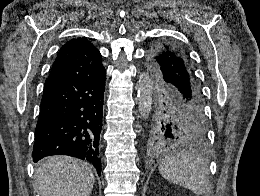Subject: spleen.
Wrapping results in <instances>:
<instances>
[{"label": "spleen", "mask_w": 260, "mask_h": 196, "mask_svg": "<svg viewBox=\"0 0 260 196\" xmlns=\"http://www.w3.org/2000/svg\"><path fill=\"white\" fill-rule=\"evenodd\" d=\"M159 172L164 180L188 188L197 196L206 194L210 184L206 162L191 152L166 156L159 164Z\"/></svg>", "instance_id": "spleen-1"}]
</instances>
